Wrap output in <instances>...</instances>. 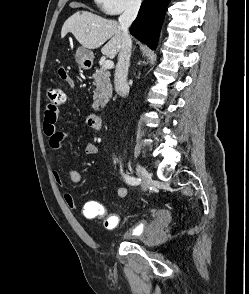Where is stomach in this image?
<instances>
[{
	"instance_id": "1",
	"label": "stomach",
	"mask_w": 249,
	"mask_h": 294,
	"mask_svg": "<svg viewBox=\"0 0 249 294\" xmlns=\"http://www.w3.org/2000/svg\"><path fill=\"white\" fill-rule=\"evenodd\" d=\"M75 59L79 67L88 69L93 63L94 55L90 49L79 47L76 51Z\"/></svg>"
}]
</instances>
